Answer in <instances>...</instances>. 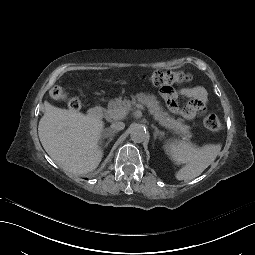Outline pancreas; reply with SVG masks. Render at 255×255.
<instances>
[{
	"mask_svg": "<svg viewBox=\"0 0 255 255\" xmlns=\"http://www.w3.org/2000/svg\"><path fill=\"white\" fill-rule=\"evenodd\" d=\"M132 100L124 99L122 97L110 100L108 103V109L105 110V117L107 119L120 120L125 117L124 110L126 113L131 109V105H135L139 102L146 105L151 114L154 115L155 120L159 122L160 125L172 129L177 134H182L186 138H191V133L189 132L190 127L183 123L182 119L175 120L167 112H164L160 107L154 95H146L144 93H138L135 96H131Z\"/></svg>",
	"mask_w": 255,
	"mask_h": 255,
	"instance_id": "cf45deb5",
	"label": "pancreas"
}]
</instances>
